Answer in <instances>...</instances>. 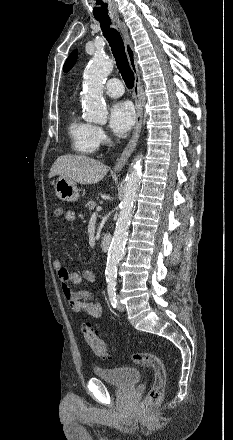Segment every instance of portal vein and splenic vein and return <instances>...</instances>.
I'll list each match as a JSON object with an SVG mask.
<instances>
[{
    "mask_svg": "<svg viewBox=\"0 0 233 440\" xmlns=\"http://www.w3.org/2000/svg\"><path fill=\"white\" fill-rule=\"evenodd\" d=\"M101 209H102V208H101L100 206H98V207L96 208V211L99 212V211H101Z\"/></svg>",
    "mask_w": 233,
    "mask_h": 440,
    "instance_id": "1",
    "label": "portal vein and splenic vein"
}]
</instances>
